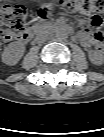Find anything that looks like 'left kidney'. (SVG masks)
I'll use <instances>...</instances> for the list:
<instances>
[{
	"instance_id": "obj_1",
	"label": "left kidney",
	"mask_w": 104,
	"mask_h": 137,
	"mask_svg": "<svg viewBox=\"0 0 104 137\" xmlns=\"http://www.w3.org/2000/svg\"><path fill=\"white\" fill-rule=\"evenodd\" d=\"M89 58L95 64H101L102 63V58L96 57L94 54H90Z\"/></svg>"
}]
</instances>
